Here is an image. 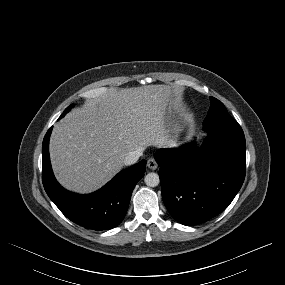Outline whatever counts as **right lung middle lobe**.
Returning <instances> with one entry per match:
<instances>
[{"label": "right lung middle lobe", "mask_w": 285, "mask_h": 285, "mask_svg": "<svg viewBox=\"0 0 285 285\" xmlns=\"http://www.w3.org/2000/svg\"><path fill=\"white\" fill-rule=\"evenodd\" d=\"M71 108H72V105L66 108L63 114L60 116V118H62Z\"/></svg>", "instance_id": "right-lung-middle-lobe-1"}]
</instances>
